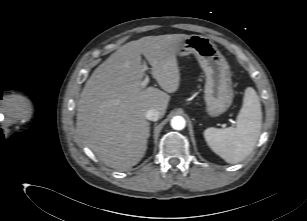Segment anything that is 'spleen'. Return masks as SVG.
<instances>
[{
	"label": "spleen",
	"mask_w": 307,
	"mask_h": 221,
	"mask_svg": "<svg viewBox=\"0 0 307 221\" xmlns=\"http://www.w3.org/2000/svg\"><path fill=\"white\" fill-rule=\"evenodd\" d=\"M262 127L259 96L252 87L245 90L243 106L237 116L236 127L207 128L204 138L208 146L230 164L244 160L255 148Z\"/></svg>",
	"instance_id": "3e777b00"
}]
</instances>
